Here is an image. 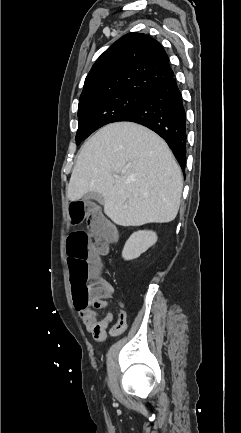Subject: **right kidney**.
Listing matches in <instances>:
<instances>
[{
	"label": "right kidney",
	"instance_id": "obj_1",
	"mask_svg": "<svg viewBox=\"0 0 241 433\" xmlns=\"http://www.w3.org/2000/svg\"><path fill=\"white\" fill-rule=\"evenodd\" d=\"M156 242L157 235L153 231L144 230L134 232L125 243L122 257L124 260L136 259Z\"/></svg>",
	"mask_w": 241,
	"mask_h": 433
}]
</instances>
